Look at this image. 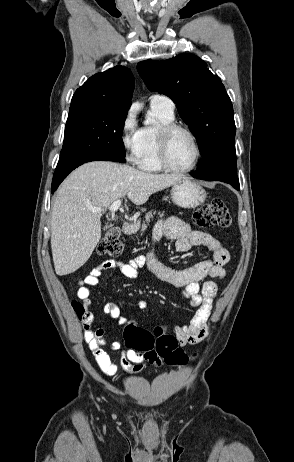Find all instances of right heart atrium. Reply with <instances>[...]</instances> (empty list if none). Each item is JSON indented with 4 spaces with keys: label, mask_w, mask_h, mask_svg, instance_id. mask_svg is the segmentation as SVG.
Returning <instances> with one entry per match:
<instances>
[{
    "label": "right heart atrium",
    "mask_w": 294,
    "mask_h": 462,
    "mask_svg": "<svg viewBox=\"0 0 294 462\" xmlns=\"http://www.w3.org/2000/svg\"><path fill=\"white\" fill-rule=\"evenodd\" d=\"M120 142L127 160L132 164H137L141 144L136 114L132 108L126 112L121 122Z\"/></svg>",
    "instance_id": "right-heart-atrium-1"
}]
</instances>
